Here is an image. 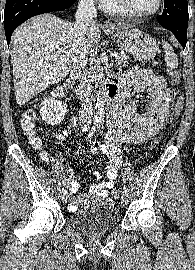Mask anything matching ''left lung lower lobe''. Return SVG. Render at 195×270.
Returning a JSON list of instances; mask_svg holds the SVG:
<instances>
[{"mask_svg":"<svg viewBox=\"0 0 195 270\" xmlns=\"http://www.w3.org/2000/svg\"><path fill=\"white\" fill-rule=\"evenodd\" d=\"M164 7L162 15L158 16L159 24L170 30L185 48L189 19L187 0H165Z\"/></svg>","mask_w":195,"mask_h":270,"instance_id":"1","label":"left lung lower lobe"}]
</instances>
